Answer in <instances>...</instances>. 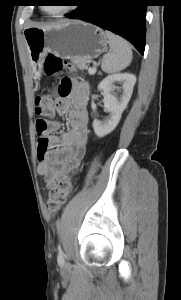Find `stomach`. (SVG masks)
Returning a JSON list of instances; mask_svg holds the SVG:
<instances>
[{
    "label": "stomach",
    "mask_w": 181,
    "mask_h": 300,
    "mask_svg": "<svg viewBox=\"0 0 181 300\" xmlns=\"http://www.w3.org/2000/svg\"><path fill=\"white\" fill-rule=\"evenodd\" d=\"M23 34L36 77H40L41 64L48 53L86 63L97 58L108 44L103 29L82 21H69L48 27H29Z\"/></svg>",
    "instance_id": "1"
}]
</instances>
